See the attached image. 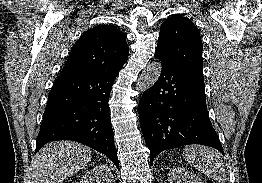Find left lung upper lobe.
<instances>
[{
  "label": "left lung upper lobe",
  "mask_w": 262,
  "mask_h": 183,
  "mask_svg": "<svg viewBox=\"0 0 262 183\" xmlns=\"http://www.w3.org/2000/svg\"><path fill=\"white\" fill-rule=\"evenodd\" d=\"M200 31L191 20L172 15L161 25L155 57L163 63L204 80Z\"/></svg>",
  "instance_id": "1"
}]
</instances>
